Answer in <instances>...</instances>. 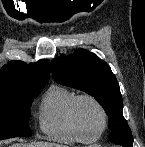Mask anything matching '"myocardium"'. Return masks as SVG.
<instances>
[{
    "instance_id": "obj_1",
    "label": "myocardium",
    "mask_w": 145,
    "mask_h": 147,
    "mask_svg": "<svg viewBox=\"0 0 145 147\" xmlns=\"http://www.w3.org/2000/svg\"><path fill=\"white\" fill-rule=\"evenodd\" d=\"M84 100H88L90 102H92L100 111L101 116H102V128L101 130L94 135H90L92 138H96L98 139L99 137H101L104 132L106 131L107 127H108V114L107 111L105 109V107L103 106V104L93 95L91 94H80L78 95L72 105V119L73 122L77 128V130L81 133L84 134H88L87 130L83 127L81 119H80V115H79V106L80 103Z\"/></svg>"
}]
</instances>
